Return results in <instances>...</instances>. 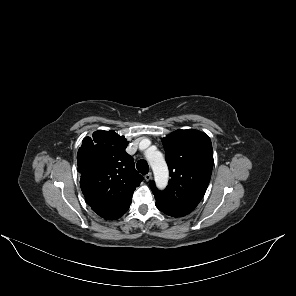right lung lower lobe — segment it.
I'll use <instances>...</instances> for the list:
<instances>
[{
    "mask_svg": "<svg viewBox=\"0 0 296 296\" xmlns=\"http://www.w3.org/2000/svg\"><path fill=\"white\" fill-rule=\"evenodd\" d=\"M130 204L131 201L118 205L93 207L92 210L104 219L115 220L121 217L129 209Z\"/></svg>",
    "mask_w": 296,
    "mask_h": 296,
    "instance_id": "obj_1",
    "label": "right lung lower lobe"
}]
</instances>
